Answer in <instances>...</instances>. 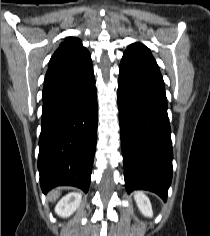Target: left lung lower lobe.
<instances>
[{
	"label": "left lung lower lobe",
	"instance_id": "obj_1",
	"mask_svg": "<svg viewBox=\"0 0 210 236\" xmlns=\"http://www.w3.org/2000/svg\"><path fill=\"white\" fill-rule=\"evenodd\" d=\"M118 107L127 192L145 189L166 201L173 152L159 69L121 61Z\"/></svg>",
	"mask_w": 210,
	"mask_h": 236
}]
</instances>
